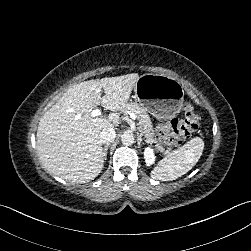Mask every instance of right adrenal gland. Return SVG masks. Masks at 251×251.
Returning a JSON list of instances; mask_svg holds the SVG:
<instances>
[{
	"instance_id": "2a0ac1e0",
	"label": "right adrenal gland",
	"mask_w": 251,
	"mask_h": 251,
	"mask_svg": "<svg viewBox=\"0 0 251 251\" xmlns=\"http://www.w3.org/2000/svg\"><path fill=\"white\" fill-rule=\"evenodd\" d=\"M108 148H109V143L106 144V145L104 146V148H103L102 154H103V159H104V161L107 160V151H108Z\"/></svg>"
}]
</instances>
